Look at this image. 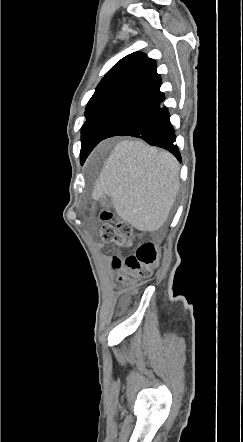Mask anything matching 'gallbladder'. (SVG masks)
Instances as JSON below:
<instances>
[{"label": "gallbladder", "instance_id": "gallbladder-1", "mask_svg": "<svg viewBox=\"0 0 243 442\" xmlns=\"http://www.w3.org/2000/svg\"><path fill=\"white\" fill-rule=\"evenodd\" d=\"M101 204L106 207V208H111L112 206V199L111 197H109L108 195H105L102 199H101Z\"/></svg>", "mask_w": 243, "mask_h": 442}]
</instances>
